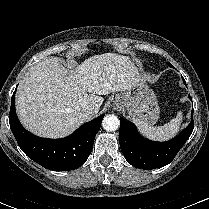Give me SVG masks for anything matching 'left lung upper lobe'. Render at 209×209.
Returning <instances> with one entry per match:
<instances>
[{"mask_svg": "<svg viewBox=\"0 0 209 209\" xmlns=\"http://www.w3.org/2000/svg\"><path fill=\"white\" fill-rule=\"evenodd\" d=\"M168 65H169L170 67H173L169 62H168Z\"/></svg>", "mask_w": 209, "mask_h": 209, "instance_id": "1", "label": "left lung upper lobe"}]
</instances>
